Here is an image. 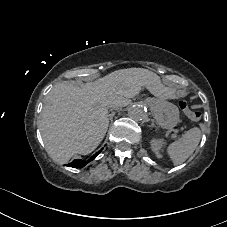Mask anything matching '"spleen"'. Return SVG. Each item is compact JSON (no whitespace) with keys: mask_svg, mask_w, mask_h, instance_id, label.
I'll return each instance as SVG.
<instances>
[{"mask_svg":"<svg viewBox=\"0 0 227 227\" xmlns=\"http://www.w3.org/2000/svg\"><path fill=\"white\" fill-rule=\"evenodd\" d=\"M201 139V130L197 127L188 130L181 139L171 143L167 152L175 166L185 162L193 154Z\"/></svg>","mask_w":227,"mask_h":227,"instance_id":"1","label":"spleen"}]
</instances>
